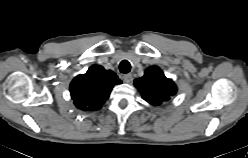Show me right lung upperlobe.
<instances>
[{
	"label": "right lung upper lobe",
	"mask_w": 248,
	"mask_h": 158,
	"mask_svg": "<svg viewBox=\"0 0 248 158\" xmlns=\"http://www.w3.org/2000/svg\"><path fill=\"white\" fill-rule=\"evenodd\" d=\"M120 83L113 71L93 65L85 74L74 78L70 85V93L77 108L98 110L108 99L113 86Z\"/></svg>",
	"instance_id": "cb5924a9"
}]
</instances>
